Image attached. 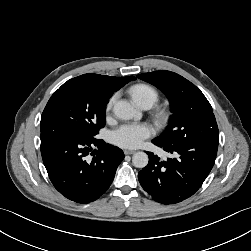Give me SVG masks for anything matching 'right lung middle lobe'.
<instances>
[{
	"label": "right lung middle lobe",
	"mask_w": 251,
	"mask_h": 251,
	"mask_svg": "<svg viewBox=\"0 0 251 251\" xmlns=\"http://www.w3.org/2000/svg\"><path fill=\"white\" fill-rule=\"evenodd\" d=\"M110 97L97 83L78 77L68 80L49 99L41 116V133L63 130L95 138L105 126Z\"/></svg>",
	"instance_id": "right-lung-middle-lobe-1"
}]
</instances>
